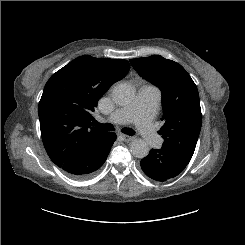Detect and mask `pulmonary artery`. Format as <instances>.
Returning <instances> with one entry per match:
<instances>
[{
	"label": "pulmonary artery",
	"instance_id": "1",
	"mask_svg": "<svg viewBox=\"0 0 245 245\" xmlns=\"http://www.w3.org/2000/svg\"><path fill=\"white\" fill-rule=\"evenodd\" d=\"M161 97V92L156 86L142 85L134 100L115 110L106 118V121L119 124L135 122L143 139L153 144L159 139L152 120L157 114Z\"/></svg>",
	"mask_w": 245,
	"mask_h": 245
}]
</instances>
